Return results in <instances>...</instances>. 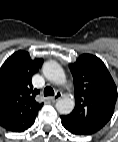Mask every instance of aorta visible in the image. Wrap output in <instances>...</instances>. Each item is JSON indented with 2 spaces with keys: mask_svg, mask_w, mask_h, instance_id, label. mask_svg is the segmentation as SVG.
Listing matches in <instances>:
<instances>
[{
  "mask_svg": "<svg viewBox=\"0 0 118 142\" xmlns=\"http://www.w3.org/2000/svg\"><path fill=\"white\" fill-rule=\"evenodd\" d=\"M43 74L51 82L62 85L66 82V75L63 68L55 61H48L43 65ZM56 110L62 114H70L75 106V102L70 97H64L57 101Z\"/></svg>",
  "mask_w": 118,
  "mask_h": 142,
  "instance_id": "762f6f07",
  "label": "aorta"
}]
</instances>
